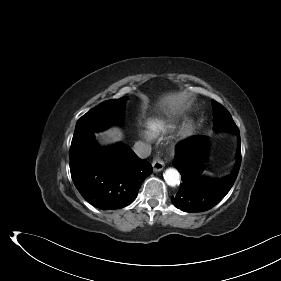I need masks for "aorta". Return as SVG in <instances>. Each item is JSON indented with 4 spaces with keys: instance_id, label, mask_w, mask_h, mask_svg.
<instances>
[{
    "instance_id": "1",
    "label": "aorta",
    "mask_w": 281,
    "mask_h": 281,
    "mask_svg": "<svg viewBox=\"0 0 281 281\" xmlns=\"http://www.w3.org/2000/svg\"><path fill=\"white\" fill-rule=\"evenodd\" d=\"M163 176L169 186L174 187L180 183V173L174 168L166 169Z\"/></svg>"
}]
</instances>
